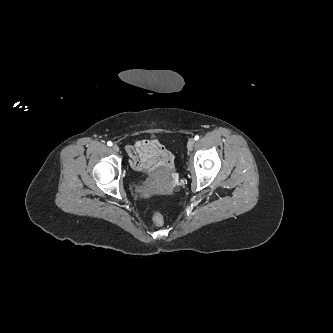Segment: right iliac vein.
<instances>
[{
	"label": "right iliac vein",
	"instance_id": "right-iliac-vein-1",
	"mask_svg": "<svg viewBox=\"0 0 333 333\" xmlns=\"http://www.w3.org/2000/svg\"><path fill=\"white\" fill-rule=\"evenodd\" d=\"M112 149H113L115 152H118V151H119V147H118V145H116V144H114V145L112 146Z\"/></svg>",
	"mask_w": 333,
	"mask_h": 333
}]
</instances>
